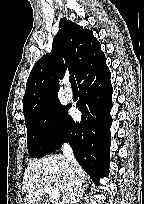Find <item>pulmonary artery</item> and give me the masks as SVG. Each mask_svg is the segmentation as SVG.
I'll use <instances>...</instances> for the list:
<instances>
[{"label":"pulmonary artery","mask_w":144,"mask_h":204,"mask_svg":"<svg viewBox=\"0 0 144 204\" xmlns=\"http://www.w3.org/2000/svg\"><path fill=\"white\" fill-rule=\"evenodd\" d=\"M64 96L66 97V99L70 100L73 97V92L71 90V88L66 87L64 90Z\"/></svg>","instance_id":"e3ab8cb5"}]
</instances>
